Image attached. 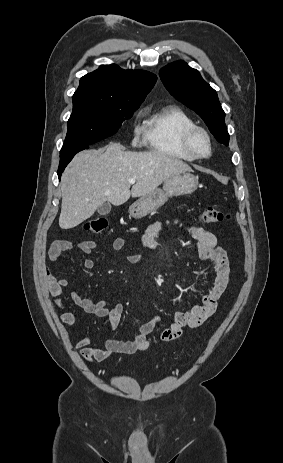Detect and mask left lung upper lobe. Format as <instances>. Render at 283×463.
Masks as SVG:
<instances>
[{
	"instance_id": "5c2ea615",
	"label": "left lung upper lobe",
	"mask_w": 283,
	"mask_h": 463,
	"mask_svg": "<svg viewBox=\"0 0 283 463\" xmlns=\"http://www.w3.org/2000/svg\"><path fill=\"white\" fill-rule=\"evenodd\" d=\"M159 75L167 90L199 114L220 143L228 145L225 113L216 91L204 81L200 73L187 63L178 61L162 68Z\"/></svg>"
}]
</instances>
